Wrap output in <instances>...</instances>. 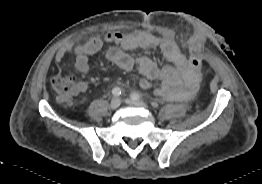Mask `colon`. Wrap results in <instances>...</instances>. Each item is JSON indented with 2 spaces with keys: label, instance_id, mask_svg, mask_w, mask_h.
<instances>
[{
  "label": "colon",
  "instance_id": "colon-1",
  "mask_svg": "<svg viewBox=\"0 0 262 184\" xmlns=\"http://www.w3.org/2000/svg\"><path fill=\"white\" fill-rule=\"evenodd\" d=\"M187 60L191 70L196 72L203 71L204 62L193 51H189ZM51 85L59 98L65 102H72L73 98L79 92V83L71 75H56L52 78Z\"/></svg>",
  "mask_w": 262,
  "mask_h": 184
}]
</instances>
